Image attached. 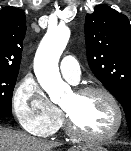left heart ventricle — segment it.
Returning a JSON list of instances; mask_svg holds the SVG:
<instances>
[{"label": "left heart ventricle", "instance_id": "left-heart-ventricle-1", "mask_svg": "<svg viewBox=\"0 0 131 151\" xmlns=\"http://www.w3.org/2000/svg\"><path fill=\"white\" fill-rule=\"evenodd\" d=\"M62 108L71 115L76 126L88 134H108L116 124L115 110L102 94L77 96L72 92L63 101Z\"/></svg>", "mask_w": 131, "mask_h": 151}]
</instances>
